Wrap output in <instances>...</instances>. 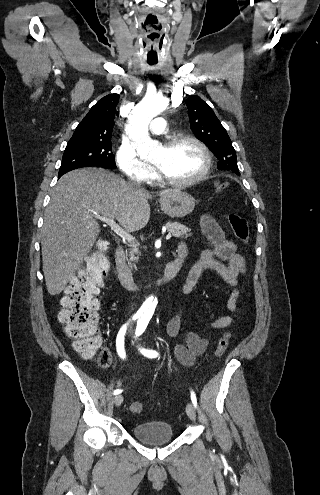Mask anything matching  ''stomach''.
<instances>
[{
	"label": "stomach",
	"mask_w": 320,
	"mask_h": 495,
	"mask_svg": "<svg viewBox=\"0 0 320 495\" xmlns=\"http://www.w3.org/2000/svg\"><path fill=\"white\" fill-rule=\"evenodd\" d=\"M159 202L162 211L172 218H181L190 214L196 205L191 195L179 190L161 196Z\"/></svg>",
	"instance_id": "0dacf381"
}]
</instances>
